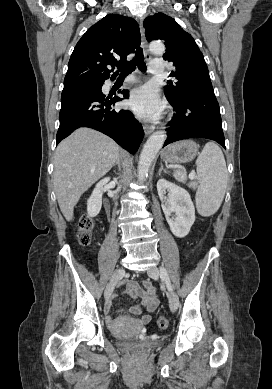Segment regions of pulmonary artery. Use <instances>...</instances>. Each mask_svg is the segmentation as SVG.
Masks as SVG:
<instances>
[{"mask_svg":"<svg viewBox=\"0 0 272 389\" xmlns=\"http://www.w3.org/2000/svg\"><path fill=\"white\" fill-rule=\"evenodd\" d=\"M164 61L161 59H153L149 64V72L152 74H162L164 73ZM127 82L135 81L134 77H129L126 79Z\"/></svg>","mask_w":272,"mask_h":389,"instance_id":"e3ab8cb5","label":"pulmonary artery"}]
</instances>
